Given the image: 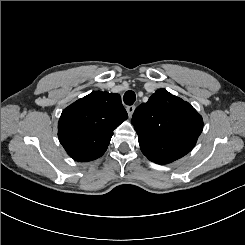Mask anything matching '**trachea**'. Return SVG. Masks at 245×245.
<instances>
[{
	"label": "trachea",
	"mask_w": 245,
	"mask_h": 245,
	"mask_svg": "<svg viewBox=\"0 0 245 245\" xmlns=\"http://www.w3.org/2000/svg\"><path fill=\"white\" fill-rule=\"evenodd\" d=\"M135 100H136V96L133 91H127L123 96V101L126 105L131 106Z\"/></svg>",
	"instance_id": "obj_1"
}]
</instances>
